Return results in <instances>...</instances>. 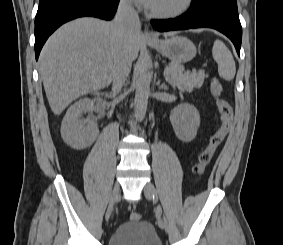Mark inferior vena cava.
<instances>
[{"label":"inferior vena cava","instance_id":"inferior-vena-cava-1","mask_svg":"<svg viewBox=\"0 0 283 245\" xmlns=\"http://www.w3.org/2000/svg\"><path fill=\"white\" fill-rule=\"evenodd\" d=\"M114 26L120 41L123 43V51L120 54L113 73V94L120 92L125 80L129 76L132 59L129 53L132 36L140 29V20L137 12L129 0H121L114 19Z\"/></svg>","mask_w":283,"mask_h":245}]
</instances>
